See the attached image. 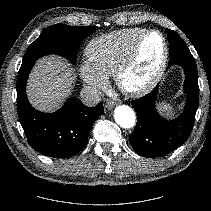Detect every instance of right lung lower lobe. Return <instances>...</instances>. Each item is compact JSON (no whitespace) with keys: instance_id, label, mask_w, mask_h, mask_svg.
<instances>
[{"instance_id":"98d812e1","label":"right lung lower lobe","mask_w":211,"mask_h":211,"mask_svg":"<svg viewBox=\"0 0 211 211\" xmlns=\"http://www.w3.org/2000/svg\"><path fill=\"white\" fill-rule=\"evenodd\" d=\"M34 63L21 65L17 77V109L22 128L37 152L58 159L72 157L87 144L93 121L104 113L103 104L86 107L71 97L54 113L35 110L26 96V82Z\"/></svg>"}]
</instances>
